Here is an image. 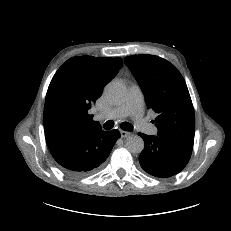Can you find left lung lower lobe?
<instances>
[{
    "label": "left lung lower lobe",
    "instance_id": "left-lung-lower-lobe-1",
    "mask_svg": "<svg viewBox=\"0 0 231 231\" xmlns=\"http://www.w3.org/2000/svg\"><path fill=\"white\" fill-rule=\"evenodd\" d=\"M145 143L139 156L141 167L150 175L167 178L179 173L187 165L193 142L169 136L138 133Z\"/></svg>",
    "mask_w": 231,
    "mask_h": 231
}]
</instances>
